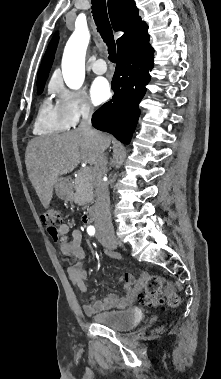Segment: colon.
I'll return each instance as SVG.
<instances>
[{"label":"colon","mask_w":221,"mask_h":379,"mask_svg":"<svg viewBox=\"0 0 221 379\" xmlns=\"http://www.w3.org/2000/svg\"><path fill=\"white\" fill-rule=\"evenodd\" d=\"M41 221L48 232L55 234L60 225V214L57 209L49 208L41 214ZM145 294L140 296L144 305L156 306L166 302L170 307H177L180 303L174 285L158 275L149 276L145 282Z\"/></svg>","instance_id":"obj_1"}]
</instances>
